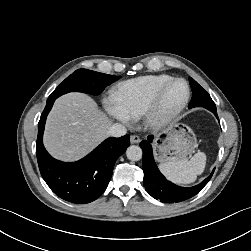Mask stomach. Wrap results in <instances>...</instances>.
Listing matches in <instances>:
<instances>
[{
    "label": "stomach",
    "mask_w": 251,
    "mask_h": 251,
    "mask_svg": "<svg viewBox=\"0 0 251 251\" xmlns=\"http://www.w3.org/2000/svg\"><path fill=\"white\" fill-rule=\"evenodd\" d=\"M156 159L160 162L179 160L194 151L196 137L185 124H173L155 140Z\"/></svg>",
    "instance_id": "stomach-1"
}]
</instances>
